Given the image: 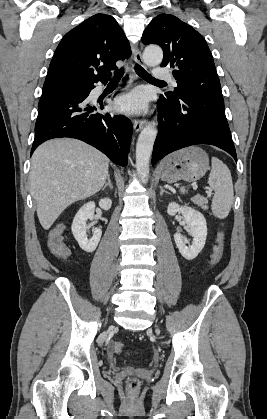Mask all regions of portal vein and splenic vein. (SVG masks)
Here are the masks:
<instances>
[{"instance_id":"obj_1","label":"portal vein and splenic vein","mask_w":267,"mask_h":419,"mask_svg":"<svg viewBox=\"0 0 267 419\" xmlns=\"http://www.w3.org/2000/svg\"><path fill=\"white\" fill-rule=\"evenodd\" d=\"M194 189H197V185H195V186H194ZM207 194H209V195H210V194H211V190H208V191H207Z\"/></svg>"}]
</instances>
